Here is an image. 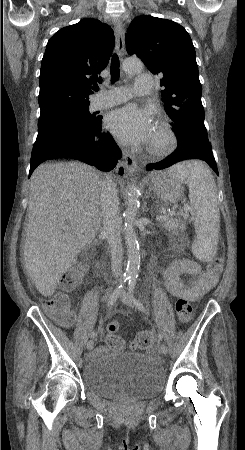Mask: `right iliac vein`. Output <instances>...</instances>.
Segmentation results:
<instances>
[{
	"mask_svg": "<svg viewBox=\"0 0 245 450\" xmlns=\"http://www.w3.org/2000/svg\"><path fill=\"white\" fill-rule=\"evenodd\" d=\"M93 346H94L93 340H90V341L87 342V349L88 350H91L93 348Z\"/></svg>",
	"mask_w": 245,
	"mask_h": 450,
	"instance_id": "63e3f726",
	"label": "right iliac vein"
}]
</instances>
